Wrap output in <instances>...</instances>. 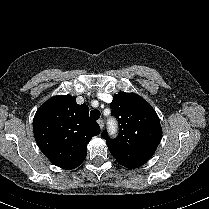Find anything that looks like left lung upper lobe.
I'll use <instances>...</instances> for the list:
<instances>
[{
	"mask_svg": "<svg viewBox=\"0 0 209 209\" xmlns=\"http://www.w3.org/2000/svg\"><path fill=\"white\" fill-rule=\"evenodd\" d=\"M112 115L119 120V135L111 140L102 133L112 156L123 166L144 165L155 153L161 137L160 120L155 110L140 96L121 92L114 95Z\"/></svg>",
	"mask_w": 209,
	"mask_h": 209,
	"instance_id": "left-lung-upper-lobe-1",
	"label": "left lung upper lobe"
}]
</instances>
